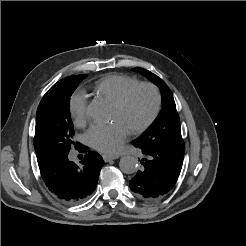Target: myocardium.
I'll list each match as a JSON object with an SVG mask.
<instances>
[{"mask_svg":"<svg viewBox=\"0 0 246 246\" xmlns=\"http://www.w3.org/2000/svg\"><path fill=\"white\" fill-rule=\"evenodd\" d=\"M141 88H148L153 92V94L155 96V106H154V109H153L151 115L148 117V119L145 122H143L138 127L130 130V132L134 135L141 134L144 131H146L157 119V117L161 111V107H162V94H161L160 89L153 83L139 82V83L131 86L127 90H125L115 101H113V105H115L116 107H119V108L123 107L129 101L131 96L138 89H141Z\"/></svg>","mask_w":246,"mask_h":246,"instance_id":"myocardium-1","label":"myocardium"}]
</instances>
